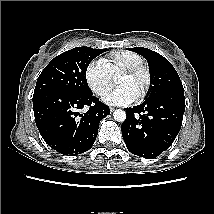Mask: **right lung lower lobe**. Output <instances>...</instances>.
<instances>
[{"instance_id":"right-lung-lower-lobe-1","label":"right lung lower lobe","mask_w":214,"mask_h":214,"mask_svg":"<svg viewBox=\"0 0 214 214\" xmlns=\"http://www.w3.org/2000/svg\"><path fill=\"white\" fill-rule=\"evenodd\" d=\"M88 107V111L79 110ZM37 128L44 141L64 155L88 151L98 134L99 122L110 114L93 94L48 91L33 95Z\"/></svg>"}]
</instances>
